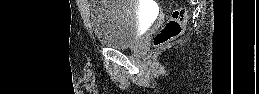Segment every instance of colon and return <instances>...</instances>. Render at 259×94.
Returning <instances> with one entry per match:
<instances>
[{"mask_svg":"<svg viewBox=\"0 0 259 94\" xmlns=\"http://www.w3.org/2000/svg\"><path fill=\"white\" fill-rule=\"evenodd\" d=\"M185 21L186 12L183 9L178 8L173 10L169 20L156 34L154 45L156 47H161L180 36L183 32Z\"/></svg>","mask_w":259,"mask_h":94,"instance_id":"obj_1","label":"colon"}]
</instances>
